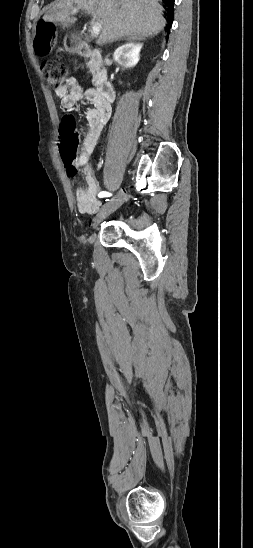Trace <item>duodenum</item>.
<instances>
[{"instance_id": "obj_1", "label": "duodenum", "mask_w": 253, "mask_h": 548, "mask_svg": "<svg viewBox=\"0 0 253 548\" xmlns=\"http://www.w3.org/2000/svg\"><path fill=\"white\" fill-rule=\"evenodd\" d=\"M73 46L76 47L79 54L90 61H92L96 66H101L103 64V55L99 50L91 49L88 45L83 42H73ZM97 93L104 98L105 100L112 102L115 98V88L112 82L108 79L107 74L104 70H100L98 79L96 82Z\"/></svg>"}]
</instances>
